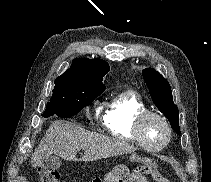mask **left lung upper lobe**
I'll use <instances>...</instances> for the list:
<instances>
[{
    "label": "left lung upper lobe",
    "mask_w": 211,
    "mask_h": 182,
    "mask_svg": "<svg viewBox=\"0 0 211 182\" xmlns=\"http://www.w3.org/2000/svg\"><path fill=\"white\" fill-rule=\"evenodd\" d=\"M142 75L154 104L169 120L172 129L180 134L179 112L173 102L172 91L168 81L152 68L144 69Z\"/></svg>",
    "instance_id": "left-lung-upper-lobe-1"
}]
</instances>
